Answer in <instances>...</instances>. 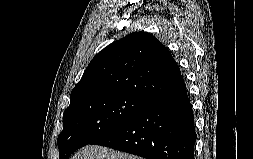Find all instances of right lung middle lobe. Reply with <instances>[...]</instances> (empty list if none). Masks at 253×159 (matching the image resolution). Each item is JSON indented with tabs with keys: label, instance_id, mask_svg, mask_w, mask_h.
Segmentation results:
<instances>
[{
	"label": "right lung middle lobe",
	"instance_id": "obj_1",
	"mask_svg": "<svg viewBox=\"0 0 253 159\" xmlns=\"http://www.w3.org/2000/svg\"><path fill=\"white\" fill-rule=\"evenodd\" d=\"M152 102L133 94L100 95L74 100L63 114L57 139L59 159L117 129Z\"/></svg>",
	"mask_w": 253,
	"mask_h": 159
}]
</instances>
